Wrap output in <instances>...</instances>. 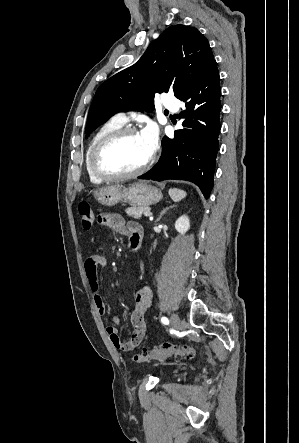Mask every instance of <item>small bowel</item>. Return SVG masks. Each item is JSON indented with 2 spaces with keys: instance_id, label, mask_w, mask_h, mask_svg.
Returning a JSON list of instances; mask_svg holds the SVG:
<instances>
[{
  "instance_id": "c3829d8e",
  "label": "small bowel",
  "mask_w": 299,
  "mask_h": 443,
  "mask_svg": "<svg viewBox=\"0 0 299 443\" xmlns=\"http://www.w3.org/2000/svg\"><path fill=\"white\" fill-rule=\"evenodd\" d=\"M98 221L100 225L128 236L129 244L132 241H138L141 244L143 228L139 223L135 221L126 222L122 216L116 213H103L99 216ZM107 265L108 260L100 255H91L84 264L86 277L91 290L95 293L96 308L100 315L107 313V306L98 293V267H106ZM151 298L152 294L148 286H144L136 292L135 304L130 317L133 331L130 338L126 341H123L118 333L117 326L120 323V318L116 314L112 315L113 325L107 326L106 332L116 349L125 353H131L140 345L148 328L147 314L151 306Z\"/></svg>"
}]
</instances>
